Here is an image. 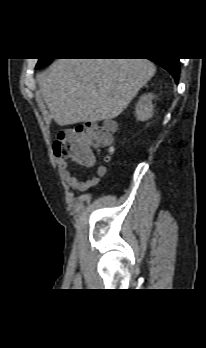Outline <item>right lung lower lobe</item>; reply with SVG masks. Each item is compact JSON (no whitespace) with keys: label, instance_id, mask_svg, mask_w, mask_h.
<instances>
[{"label":"right lung lower lobe","instance_id":"1","mask_svg":"<svg viewBox=\"0 0 206 348\" xmlns=\"http://www.w3.org/2000/svg\"><path fill=\"white\" fill-rule=\"evenodd\" d=\"M153 62L157 63L164 69H166L175 79L176 83H178L179 80V59L177 58H165V59H156L152 60Z\"/></svg>","mask_w":206,"mask_h":348}]
</instances>
